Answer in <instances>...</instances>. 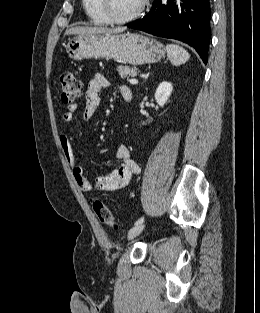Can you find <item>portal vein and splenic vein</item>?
<instances>
[{
    "mask_svg": "<svg viewBox=\"0 0 260 313\" xmlns=\"http://www.w3.org/2000/svg\"><path fill=\"white\" fill-rule=\"evenodd\" d=\"M129 82H130L131 84H137V83H138V80H136V79H130Z\"/></svg>",
    "mask_w": 260,
    "mask_h": 313,
    "instance_id": "1",
    "label": "portal vein and splenic vein"
}]
</instances>
